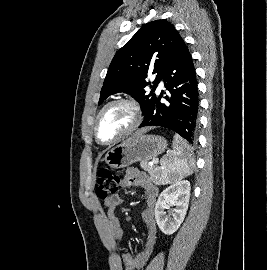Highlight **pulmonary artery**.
<instances>
[{"label": "pulmonary artery", "instance_id": "pulmonary-artery-1", "mask_svg": "<svg viewBox=\"0 0 267 270\" xmlns=\"http://www.w3.org/2000/svg\"><path fill=\"white\" fill-rule=\"evenodd\" d=\"M163 86H164L163 81H160V82H159V89L163 88Z\"/></svg>", "mask_w": 267, "mask_h": 270}]
</instances>
